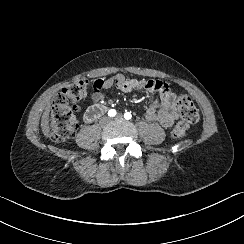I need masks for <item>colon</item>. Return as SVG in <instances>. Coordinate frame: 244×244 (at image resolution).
Segmentation results:
<instances>
[{
    "instance_id": "obj_1",
    "label": "colon",
    "mask_w": 244,
    "mask_h": 244,
    "mask_svg": "<svg viewBox=\"0 0 244 244\" xmlns=\"http://www.w3.org/2000/svg\"><path fill=\"white\" fill-rule=\"evenodd\" d=\"M88 88L87 80L78 79L69 83L55 96L50 114L52 141L62 143L73 137L77 127V103L87 93ZM175 102L180 112V120L174 126L172 136L176 140H182L190 126L199 121L200 114L193 100L186 95H178Z\"/></svg>"
}]
</instances>
